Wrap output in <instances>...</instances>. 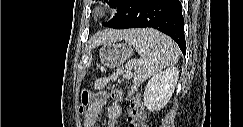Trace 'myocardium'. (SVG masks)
<instances>
[{"label": "myocardium", "instance_id": "1", "mask_svg": "<svg viewBox=\"0 0 243 127\" xmlns=\"http://www.w3.org/2000/svg\"><path fill=\"white\" fill-rule=\"evenodd\" d=\"M113 8L107 4L95 6L91 11V17L94 21H102L111 15Z\"/></svg>", "mask_w": 243, "mask_h": 127}]
</instances>
